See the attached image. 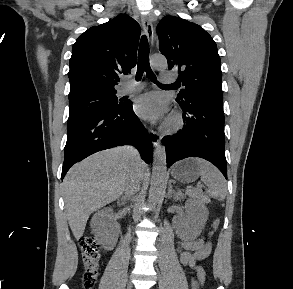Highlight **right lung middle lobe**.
<instances>
[{"label":"right lung middle lobe","instance_id":"obj_1","mask_svg":"<svg viewBox=\"0 0 293 289\" xmlns=\"http://www.w3.org/2000/svg\"><path fill=\"white\" fill-rule=\"evenodd\" d=\"M127 102H118L115 93L94 95L69 102V118L67 124L91 116L96 113L118 109Z\"/></svg>","mask_w":293,"mask_h":289}]
</instances>
